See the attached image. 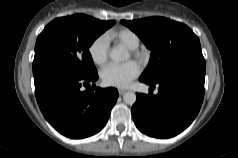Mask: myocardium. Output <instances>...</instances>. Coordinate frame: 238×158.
Segmentation results:
<instances>
[{"label":"myocardium","instance_id":"1","mask_svg":"<svg viewBox=\"0 0 238 158\" xmlns=\"http://www.w3.org/2000/svg\"><path fill=\"white\" fill-rule=\"evenodd\" d=\"M132 53L138 57L141 56V53L139 51H137L136 49H131Z\"/></svg>","mask_w":238,"mask_h":158}]
</instances>
